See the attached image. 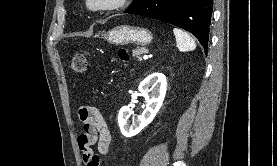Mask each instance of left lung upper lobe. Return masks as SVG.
<instances>
[{
    "label": "left lung upper lobe",
    "instance_id": "1",
    "mask_svg": "<svg viewBox=\"0 0 277 166\" xmlns=\"http://www.w3.org/2000/svg\"><path fill=\"white\" fill-rule=\"evenodd\" d=\"M145 0H134L133 3L130 5V7L127 9V11L139 6L142 4Z\"/></svg>",
    "mask_w": 277,
    "mask_h": 166
}]
</instances>
